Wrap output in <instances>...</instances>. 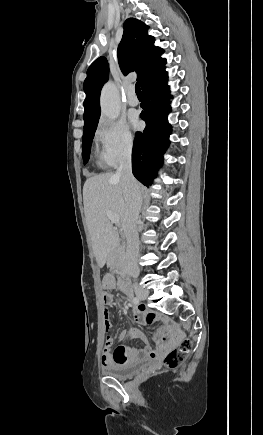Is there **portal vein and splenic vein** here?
Returning <instances> with one entry per match:
<instances>
[{
    "mask_svg": "<svg viewBox=\"0 0 263 435\" xmlns=\"http://www.w3.org/2000/svg\"><path fill=\"white\" fill-rule=\"evenodd\" d=\"M106 215L111 220L112 223H115V224L119 223L120 219H119V216L117 214H114V213L108 211L106 213Z\"/></svg>",
    "mask_w": 263,
    "mask_h": 435,
    "instance_id": "obj_1",
    "label": "portal vein and splenic vein"
}]
</instances>
